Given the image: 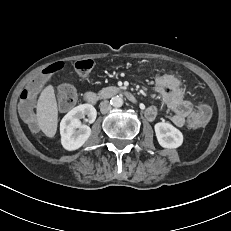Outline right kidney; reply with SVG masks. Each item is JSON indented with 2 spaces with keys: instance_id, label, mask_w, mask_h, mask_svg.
<instances>
[{
  "instance_id": "obj_1",
  "label": "right kidney",
  "mask_w": 231,
  "mask_h": 231,
  "mask_svg": "<svg viewBox=\"0 0 231 231\" xmlns=\"http://www.w3.org/2000/svg\"><path fill=\"white\" fill-rule=\"evenodd\" d=\"M93 123L97 116L96 109L91 104H82L69 111L61 120V144L64 149L73 151L79 149L90 137L91 129L82 125L80 119L85 118Z\"/></svg>"
}]
</instances>
